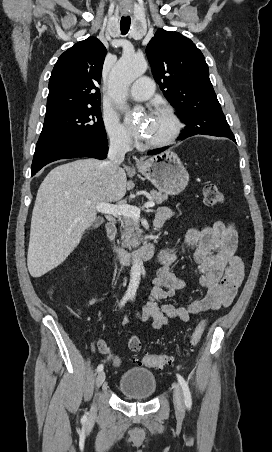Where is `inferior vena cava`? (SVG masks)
I'll return each mask as SVG.
<instances>
[{
	"mask_svg": "<svg viewBox=\"0 0 272 452\" xmlns=\"http://www.w3.org/2000/svg\"><path fill=\"white\" fill-rule=\"evenodd\" d=\"M129 150L130 144L125 136L116 134L110 137L108 160L104 162V165L110 174H114L119 169L125 154Z\"/></svg>",
	"mask_w": 272,
	"mask_h": 452,
	"instance_id": "1",
	"label": "inferior vena cava"
}]
</instances>
